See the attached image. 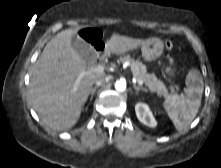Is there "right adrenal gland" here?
I'll use <instances>...</instances> for the list:
<instances>
[{
    "label": "right adrenal gland",
    "instance_id": "right-adrenal-gland-1",
    "mask_svg": "<svg viewBox=\"0 0 221 168\" xmlns=\"http://www.w3.org/2000/svg\"><path fill=\"white\" fill-rule=\"evenodd\" d=\"M97 88H98V86H95L94 88L91 89V91H90V94H91L90 102L92 101L94 93H95Z\"/></svg>",
    "mask_w": 221,
    "mask_h": 168
}]
</instances>
